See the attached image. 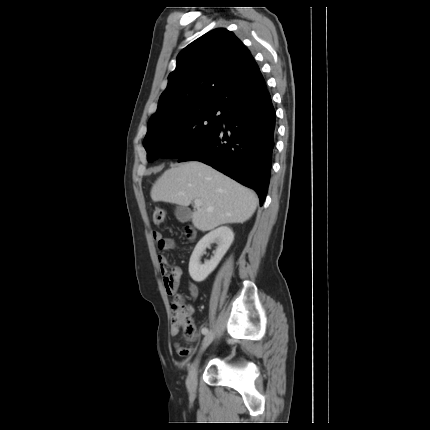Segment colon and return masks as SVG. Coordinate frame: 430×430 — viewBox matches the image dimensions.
<instances>
[{
	"instance_id": "colon-1",
	"label": "colon",
	"mask_w": 430,
	"mask_h": 430,
	"mask_svg": "<svg viewBox=\"0 0 430 430\" xmlns=\"http://www.w3.org/2000/svg\"><path fill=\"white\" fill-rule=\"evenodd\" d=\"M166 213L163 209L157 208L153 212L154 222L161 224L165 221ZM171 312L173 321L179 329L183 331V336L186 341H190L195 336L196 328L192 318V310L188 307L181 296H177L171 302Z\"/></svg>"
}]
</instances>
